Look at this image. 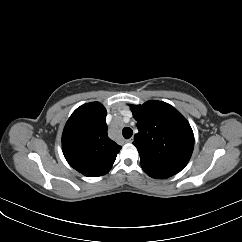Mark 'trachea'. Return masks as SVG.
I'll return each instance as SVG.
<instances>
[{
  "mask_svg": "<svg viewBox=\"0 0 242 242\" xmlns=\"http://www.w3.org/2000/svg\"><path fill=\"white\" fill-rule=\"evenodd\" d=\"M122 134L125 139H129L132 136L133 131L130 127H125L122 130Z\"/></svg>",
  "mask_w": 242,
  "mask_h": 242,
  "instance_id": "3493384b",
  "label": "trachea"
}]
</instances>
